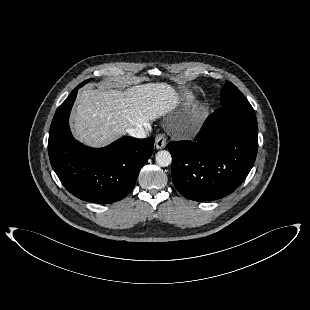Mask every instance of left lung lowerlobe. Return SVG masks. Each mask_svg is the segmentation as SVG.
Here are the masks:
<instances>
[{
    "label": "left lung lower lobe",
    "mask_w": 310,
    "mask_h": 310,
    "mask_svg": "<svg viewBox=\"0 0 310 310\" xmlns=\"http://www.w3.org/2000/svg\"><path fill=\"white\" fill-rule=\"evenodd\" d=\"M172 180L195 201H211L232 193L250 172L258 150L255 112L246 101L217 109L193 141H172Z\"/></svg>",
    "instance_id": "0a47b994"
}]
</instances>
